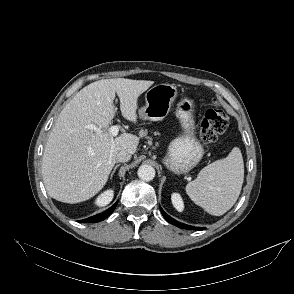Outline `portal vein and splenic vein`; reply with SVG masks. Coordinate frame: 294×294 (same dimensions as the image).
<instances>
[{"label":"portal vein and splenic vein","mask_w":294,"mask_h":294,"mask_svg":"<svg viewBox=\"0 0 294 294\" xmlns=\"http://www.w3.org/2000/svg\"><path fill=\"white\" fill-rule=\"evenodd\" d=\"M89 128H90V129H94V130H96V128H95L93 125L89 126ZM119 129H120V127H119L118 125H113V126H111L110 129H109L110 135H111L112 137H113V136H117V134H118V132H119Z\"/></svg>","instance_id":"obj_1"}]
</instances>
